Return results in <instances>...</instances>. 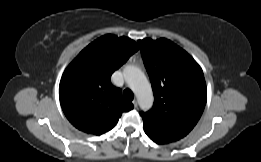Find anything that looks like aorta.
Returning <instances> with one entry per match:
<instances>
[{
	"mask_svg": "<svg viewBox=\"0 0 261 162\" xmlns=\"http://www.w3.org/2000/svg\"><path fill=\"white\" fill-rule=\"evenodd\" d=\"M124 77L135 93L139 106L143 110H149L153 105V92L145 74L136 66H127L124 69Z\"/></svg>",
	"mask_w": 261,
	"mask_h": 162,
	"instance_id": "762f6f07",
	"label": "aorta"
}]
</instances>
